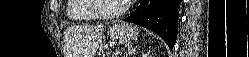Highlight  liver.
Here are the masks:
<instances>
[{
    "instance_id": "obj_1",
    "label": "liver",
    "mask_w": 249,
    "mask_h": 57,
    "mask_svg": "<svg viewBox=\"0 0 249 57\" xmlns=\"http://www.w3.org/2000/svg\"><path fill=\"white\" fill-rule=\"evenodd\" d=\"M103 26H76L66 31L72 57H94L102 39Z\"/></svg>"
}]
</instances>
